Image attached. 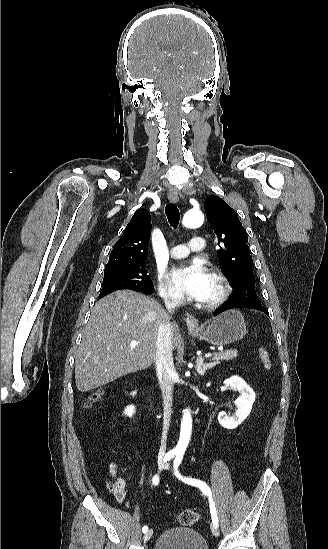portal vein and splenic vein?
Segmentation results:
<instances>
[{
  "instance_id": "18ae733b",
  "label": "portal vein and splenic vein",
  "mask_w": 328,
  "mask_h": 549,
  "mask_svg": "<svg viewBox=\"0 0 328 549\" xmlns=\"http://www.w3.org/2000/svg\"><path fill=\"white\" fill-rule=\"evenodd\" d=\"M138 345L137 341H131L130 347H136ZM212 353H206V359H211Z\"/></svg>"
}]
</instances>
